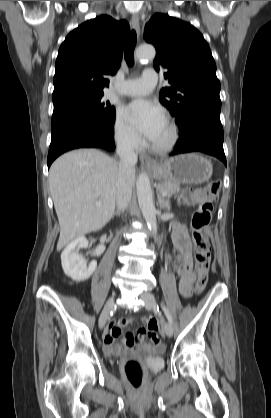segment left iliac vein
I'll return each instance as SVG.
<instances>
[{
    "label": "left iliac vein",
    "mask_w": 271,
    "mask_h": 418,
    "mask_svg": "<svg viewBox=\"0 0 271 418\" xmlns=\"http://www.w3.org/2000/svg\"><path fill=\"white\" fill-rule=\"evenodd\" d=\"M140 298L144 301L145 307L148 310H154L156 308L157 303H156L155 297L152 293L143 292V293L140 294ZM163 329H164L165 334L168 337H172L173 327H172L171 323L164 321L163 322Z\"/></svg>",
    "instance_id": "obj_1"
}]
</instances>
